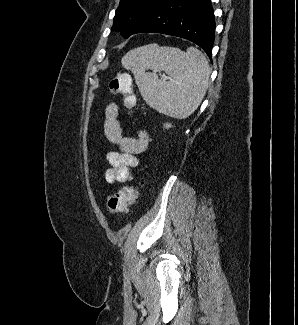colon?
Listing matches in <instances>:
<instances>
[{"mask_svg": "<svg viewBox=\"0 0 298 325\" xmlns=\"http://www.w3.org/2000/svg\"><path fill=\"white\" fill-rule=\"evenodd\" d=\"M112 93L120 95L127 108H133L136 104V96L132 88L130 75L126 72H119L109 84ZM138 198V187L126 185L111 195L106 203L107 211L116 215L126 212Z\"/></svg>", "mask_w": 298, "mask_h": 325, "instance_id": "obj_1", "label": "colon"}]
</instances>
